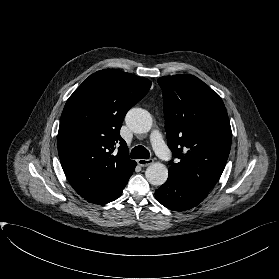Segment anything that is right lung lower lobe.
<instances>
[{"label":"right lung lower lobe","instance_id":"right-lung-lower-lobe-1","mask_svg":"<svg viewBox=\"0 0 279 279\" xmlns=\"http://www.w3.org/2000/svg\"><path fill=\"white\" fill-rule=\"evenodd\" d=\"M127 182H128V181H127ZM127 182H126V184H127ZM126 184H125V185H126ZM125 185H124L116 194L112 195L109 199L103 201V202L100 203V204H105V203H109V202H111V201L116 200V199L121 195V193H122V191H123Z\"/></svg>","mask_w":279,"mask_h":279}]
</instances>
